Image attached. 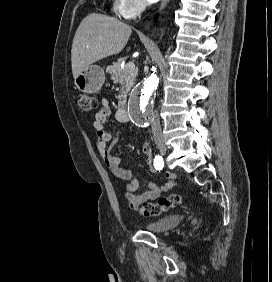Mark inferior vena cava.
I'll list each match as a JSON object with an SVG mask.
<instances>
[{
  "mask_svg": "<svg viewBox=\"0 0 272 282\" xmlns=\"http://www.w3.org/2000/svg\"><path fill=\"white\" fill-rule=\"evenodd\" d=\"M146 4L142 6V10H144ZM151 128L154 140H161L163 138L160 120L157 111L154 112L152 120H151Z\"/></svg>",
  "mask_w": 272,
  "mask_h": 282,
  "instance_id": "obj_1",
  "label": "inferior vena cava"
}]
</instances>
